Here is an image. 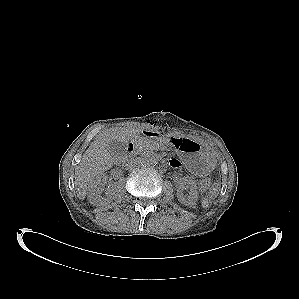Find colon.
<instances>
[{
  "mask_svg": "<svg viewBox=\"0 0 299 299\" xmlns=\"http://www.w3.org/2000/svg\"><path fill=\"white\" fill-rule=\"evenodd\" d=\"M199 186L201 189L208 190L211 188V180L208 177H202L199 181ZM214 190V188H211L210 191L202 197L201 204L203 206L207 207L212 203Z\"/></svg>",
  "mask_w": 299,
  "mask_h": 299,
  "instance_id": "5ec220e1",
  "label": "colon"
}]
</instances>
